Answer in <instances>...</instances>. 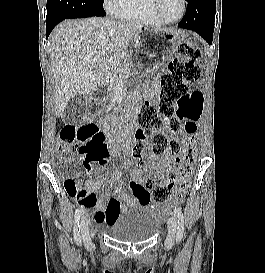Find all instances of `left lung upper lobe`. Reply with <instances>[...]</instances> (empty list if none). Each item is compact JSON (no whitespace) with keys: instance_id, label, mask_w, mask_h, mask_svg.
<instances>
[{"instance_id":"left-lung-upper-lobe-1","label":"left lung upper lobe","mask_w":265,"mask_h":273,"mask_svg":"<svg viewBox=\"0 0 265 273\" xmlns=\"http://www.w3.org/2000/svg\"><path fill=\"white\" fill-rule=\"evenodd\" d=\"M188 4L190 3L191 0H186ZM215 8H212L206 12L204 15V22L207 23L208 25H214V19H215Z\"/></svg>"}]
</instances>
